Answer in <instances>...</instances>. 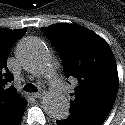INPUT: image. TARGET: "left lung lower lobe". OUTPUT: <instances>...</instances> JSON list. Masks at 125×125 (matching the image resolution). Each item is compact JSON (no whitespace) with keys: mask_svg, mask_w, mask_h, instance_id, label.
Wrapping results in <instances>:
<instances>
[{"mask_svg":"<svg viewBox=\"0 0 125 125\" xmlns=\"http://www.w3.org/2000/svg\"><path fill=\"white\" fill-rule=\"evenodd\" d=\"M57 125H102V122L71 115L68 118L57 120Z\"/></svg>","mask_w":125,"mask_h":125,"instance_id":"left-lung-lower-lobe-1","label":"left lung lower lobe"}]
</instances>
